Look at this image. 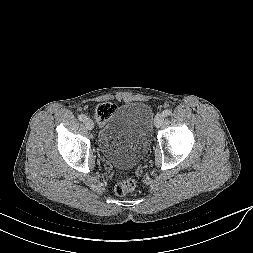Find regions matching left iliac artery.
I'll list each match as a JSON object with an SVG mask.
<instances>
[{
	"instance_id": "left-iliac-artery-1",
	"label": "left iliac artery",
	"mask_w": 253,
	"mask_h": 253,
	"mask_svg": "<svg viewBox=\"0 0 253 253\" xmlns=\"http://www.w3.org/2000/svg\"><path fill=\"white\" fill-rule=\"evenodd\" d=\"M171 113H172V111L170 109H166L163 111L164 116H169V115H171Z\"/></svg>"
}]
</instances>
